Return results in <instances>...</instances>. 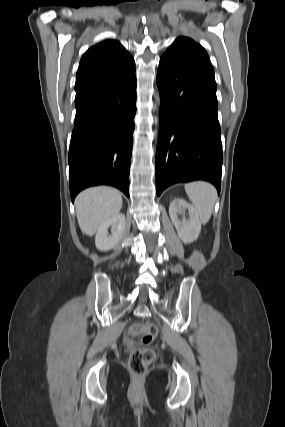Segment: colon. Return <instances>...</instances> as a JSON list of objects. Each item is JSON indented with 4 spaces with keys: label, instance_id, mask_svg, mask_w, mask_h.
<instances>
[{
    "label": "colon",
    "instance_id": "1",
    "mask_svg": "<svg viewBox=\"0 0 285 427\" xmlns=\"http://www.w3.org/2000/svg\"><path fill=\"white\" fill-rule=\"evenodd\" d=\"M131 333L137 335L145 347L131 353L128 367L134 376L142 377L146 374L148 365L155 358V351L146 346L154 341L157 335V327L151 322L138 323L131 328Z\"/></svg>",
    "mask_w": 285,
    "mask_h": 427
}]
</instances>
